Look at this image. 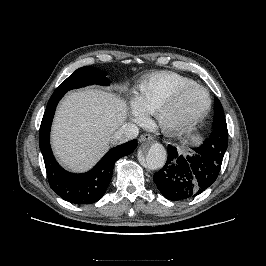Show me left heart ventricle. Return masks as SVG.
<instances>
[{"label": "left heart ventricle", "instance_id": "1", "mask_svg": "<svg viewBox=\"0 0 266 266\" xmlns=\"http://www.w3.org/2000/svg\"><path fill=\"white\" fill-rule=\"evenodd\" d=\"M205 106V93L199 89L192 88L180 98L171 116L175 119L193 117L200 113Z\"/></svg>", "mask_w": 266, "mask_h": 266}]
</instances>
